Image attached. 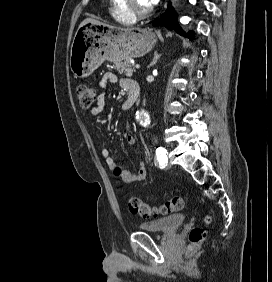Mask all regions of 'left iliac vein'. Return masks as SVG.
Returning a JSON list of instances; mask_svg holds the SVG:
<instances>
[{
	"instance_id": "4c4485c4",
	"label": "left iliac vein",
	"mask_w": 272,
	"mask_h": 282,
	"mask_svg": "<svg viewBox=\"0 0 272 282\" xmlns=\"http://www.w3.org/2000/svg\"><path fill=\"white\" fill-rule=\"evenodd\" d=\"M167 167H170V164L169 163H167V165H166Z\"/></svg>"
}]
</instances>
